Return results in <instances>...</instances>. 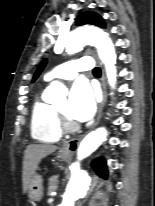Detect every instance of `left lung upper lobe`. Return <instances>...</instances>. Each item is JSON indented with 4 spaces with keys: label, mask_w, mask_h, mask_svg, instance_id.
<instances>
[{
    "label": "left lung upper lobe",
    "mask_w": 155,
    "mask_h": 206,
    "mask_svg": "<svg viewBox=\"0 0 155 206\" xmlns=\"http://www.w3.org/2000/svg\"><path fill=\"white\" fill-rule=\"evenodd\" d=\"M76 24L78 26L83 25V24H93V25L104 27L103 19L98 14H96L94 12H84V13H82L76 19ZM46 62H47V60L44 59L40 63L37 71L35 72V74L33 76L32 82H34L39 77V75L41 74L42 70L44 69V67L46 65Z\"/></svg>",
    "instance_id": "obj_1"
}]
</instances>
